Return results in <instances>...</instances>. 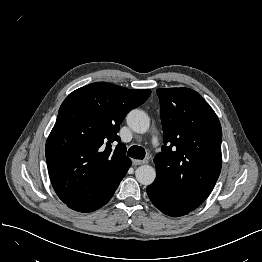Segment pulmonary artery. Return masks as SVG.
<instances>
[{
	"instance_id": "obj_1",
	"label": "pulmonary artery",
	"mask_w": 262,
	"mask_h": 262,
	"mask_svg": "<svg viewBox=\"0 0 262 262\" xmlns=\"http://www.w3.org/2000/svg\"><path fill=\"white\" fill-rule=\"evenodd\" d=\"M152 144H153V146H155V147L159 145V141H158L157 136H154V137L152 138Z\"/></svg>"
}]
</instances>
